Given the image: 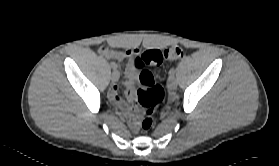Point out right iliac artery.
Instances as JSON below:
<instances>
[{"label": "right iliac artery", "mask_w": 279, "mask_h": 166, "mask_svg": "<svg viewBox=\"0 0 279 166\" xmlns=\"http://www.w3.org/2000/svg\"><path fill=\"white\" fill-rule=\"evenodd\" d=\"M110 66H111V68H112L113 70H115V69L117 68V65H116L115 62H111V63H110Z\"/></svg>", "instance_id": "obj_1"}]
</instances>
